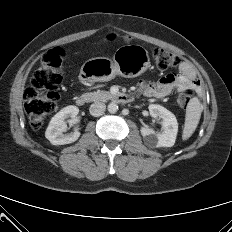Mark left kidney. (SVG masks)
<instances>
[{"label": "left kidney", "instance_id": "1", "mask_svg": "<svg viewBox=\"0 0 232 232\" xmlns=\"http://www.w3.org/2000/svg\"><path fill=\"white\" fill-rule=\"evenodd\" d=\"M149 112L152 117L162 119V132L156 133L153 129L142 127L140 129L145 144L150 148L155 147H172L175 143L178 123L175 115L166 108L157 105H149Z\"/></svg>", "mask_w": 232, "mask_h": 232}]
</instances>
